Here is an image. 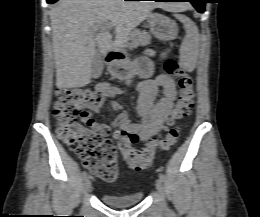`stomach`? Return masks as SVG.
<instances>
[{
	"mask_svg": "<svg viewBox=\"0 0 260 217\" xmlns=\"http://www.w3.org/2000/svg\"><path fill=\"white\" fill-rule=\"evenodd\" d=\"M148 22L151 33L156 38L162 41H171L176 38L178 28L176 23L170 18L162 14L150 13L148 16ZM162 55L165 56V53ZM111 66L113 69V75L120 79H130L134 75L146 79L150 78L154 72L153 63L146 58L138 61H129L124 59L115 64H111Z\"/></svg>",
	"mask_w": 260,
	"mask_h": 217,
	"instance_id": "obj_1",
	"label": "stomach"
}]
</instances>
